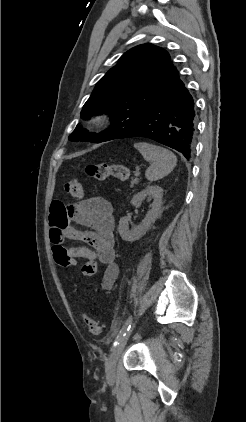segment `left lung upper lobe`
I'll return each instance as SVG.
<instances>
[{
  "mask_svg": "<svg viewBox=\"0 0 246 422\" xmlns=\"http://www.w3.org/2000/svg\"><path fill=\"white\" fill-rule=\"evenodd\" d=\"M177 74L164 49L149 43L130 49L98 81L81 111L82 118L108 114L111 126L91 134L77 125L69 140L101 143L118 138L145 114Z\"/></svg>",
  "mask_w": 246,
  "mask_h": 422,
  "instance_id": "obj_1",
  "label": "left lung upper lobe"
}]
</instances>
